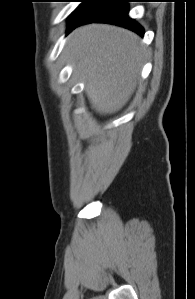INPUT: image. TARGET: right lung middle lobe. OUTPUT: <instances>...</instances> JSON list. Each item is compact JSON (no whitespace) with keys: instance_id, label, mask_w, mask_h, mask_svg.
<instances>
[{"instance_id":"right-lung-middle-lobe-1","label":"right lung middle lobe","mask_w":195,"mask_h":299,"mask_svg":"<svg viewBox=\"0 0 195 299\" xmlns=\"http://www.w3.org/2000/svg\"><path fill=\"white\" fill-rule=\"evenodd\" d=\"M82 1L83 2L79 5V7L70 15L68 26H70L71 24L79 20L96 0H82Z\"/></svg>"}]
</instances>
